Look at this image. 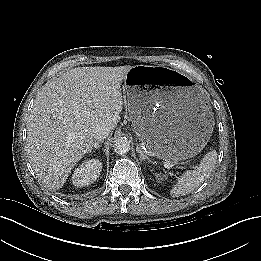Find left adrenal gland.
I'll return each instance as SVG.
<instances>
[{
    "instance_id": "left-adrenal-gland-1",
    "label": "left adrenal gland",
    "mask_w": 261,
    "mask_h": 261,
    "mask_svg": "<svg viewBox=\"0 0 261 261\" xmlns=\"http://www.w3.org/2000/svg\"><path fill=\"white\" fill-rule=\"evenodd\" d=\"M136 151H137V153L140 154V161H142V160L149 161V158L147 157V155H145L144 152L138 146L136 148Z\"/></svg>"
}]
</instances>
